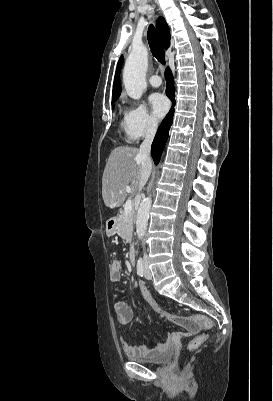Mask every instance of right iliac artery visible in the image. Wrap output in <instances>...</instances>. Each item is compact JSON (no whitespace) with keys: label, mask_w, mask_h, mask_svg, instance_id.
I'll use <instances>...</instances> for the list:
<instances>
[{"label":"right iliac artery","mask_w":273,"mask_h":401,"mask_svg":"<svg viewBox=\"0 0 273 401\" xmlns=\"http://www.w3.org/2000/svg\"><path fill=\"white\" fill-rule=\"evenodd\" d=\"M137 274L141 277L144 275V265L141 259L137 263Z\"/></svg>","instance_id":"obj_1"}]
</instances>
